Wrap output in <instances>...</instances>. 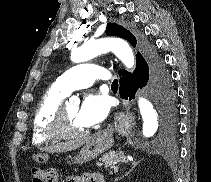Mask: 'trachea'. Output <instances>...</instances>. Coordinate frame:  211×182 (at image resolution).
<instances>
[{
  "mask_svg": "<svg viewBox=\"0 0 211 182\" xmlns=\"http://www.w3.org/2000/svg\"><path fill=\"white\" fill-rule=\"evenodd\" d=\"M111 87L118 88V80L117 79H114V81L112 82Z\"/></svg>",
  "mask_w": 211,
  "mask_h": 182,
  "instance_id": "3493384b",
  "label": "trachea"
}]
</instances>
